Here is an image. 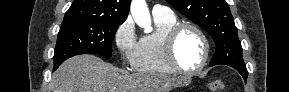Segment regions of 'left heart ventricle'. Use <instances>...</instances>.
Instances as JSON below:
<instances>
[{"instance_id":"b2bd125f","label":"left heart ventricle","mask_w":289,"mask_h":92,"mask_svg":"<svg viewBox=\"0 0 289 92\" xmlns=\"http://www.w3.org/2000/svg\"><path fill=\"white\" fill-rule=\"evenodd\" d=\"M175 55L183 68L190 70L198 67L204 55V44L199 35L193 30H184L177 39Z\"/></svg>"}]
</instances>
